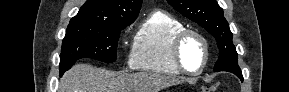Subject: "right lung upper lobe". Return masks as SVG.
<instances>
[{"instance_id": "obj_1", "label": "right lung upper lobe", "mask_w": 289, "mask_h": 92, "mask_svg": "<svg viewBox=\"0 0 289 92\" xmlns=\"http://www.w3.org/2000/svg\"><path fill=\"white\" fill-rule=\"evenodd\" d=\"M141 4L142 0H87L70 24L130 25Z\"/></svg>"}]
</instances>
